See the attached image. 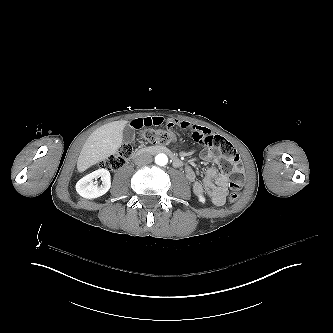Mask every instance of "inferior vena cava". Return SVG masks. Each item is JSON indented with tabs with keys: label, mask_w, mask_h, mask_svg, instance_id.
<instances>
[{
	"label": "inferior vena cava",
	"mask_w": 333,
	"mask_h": 333,
	"mask_svg": "<svg viewBox=\"0 0 333 333\" xmlns=\"http://www.w3.org/2000/svg\"><path fill=\"white\" fill-rule=\"evenodd\" d=\"M152 156L147 152H141L134 160L137 166H144L152 162Z\"/></svg>",
	"instance_id": "1"
}]
</instances>
